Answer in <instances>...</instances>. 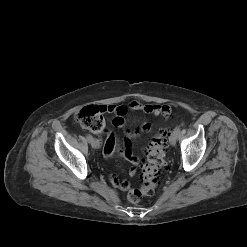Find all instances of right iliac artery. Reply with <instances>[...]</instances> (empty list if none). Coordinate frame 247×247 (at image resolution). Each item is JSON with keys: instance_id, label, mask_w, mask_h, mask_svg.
I'll use <instances>...</instances> for the list:
<instances>
[{"instance_id": "obj_1", "label": "right iliac artery", "mask_w": 247, "mask_h": 247, "mask_svg": "<svg viewBox=\"0 0 247 247\" xmlns=\"http://www.w3.org/2000/svg\"><path fill=\"white\" fill-rule=\"evenodd\" d=\"M86 138L88 141H90L93 137L90 134H87Z\"/></svg>"}]
</instances>
